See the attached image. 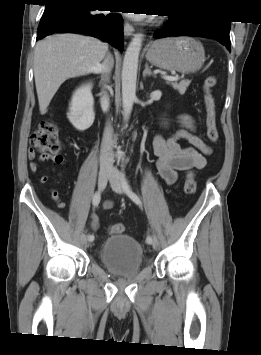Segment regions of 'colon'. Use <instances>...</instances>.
I'll list each match as a JSON object with an SVG mask.
<instances>
[{"label": "colon", "mask_w": 261, "mask_h": 355, "mask_svg": "<svg viewBox=\"0 0 261 355\" xmlns=\"http://www.w3.org/2000/svg\"><path fill=\"white\" fill-rule=\"evenodd\" d=\"M216 84V78H206L204 88L205 125L206 134L211 143H216L219 137L216 123V101L212 89ZM31 146L40 153V157H54L62 149V142L57 127L48 121L42 122L30 137ZM197 182L193 172H188L185 177L184 190L187 194L196 191ZM126 231L123 223H115L109 227L110 234H122Z\"/></svg>", "instance_id": "obj_1"}]
</instances>
